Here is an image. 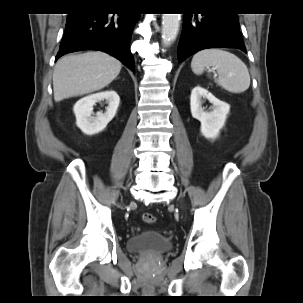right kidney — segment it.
<instances>
[{"mask_svg": "<svg viewBox=\"0 0 303 303\" xmlns=\"http://www.w3.org/2000/svg\"><path fill=\"white\" fill-rule=\"evenodd\" d=\"M102 100L108 102L106 112H97L94 116L93 106ZM119 103V95L113 90L81 98L73 108L77 127L86 135H94L103 131L107 124L115 117Z\"/></svg>", "mask_w": 303, "mask_h": 303, "instance_id": "right-kidney-1", "label": "right kidney"}]
</instances>
